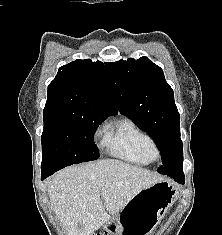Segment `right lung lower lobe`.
Masks as SVG:
<instances>
[{"mask_svg": "<svg viewBox=\"0 0 222 235\" xmlns=\"http://www.w3.org/2000/svg\"><path fill=\"white\" fill-rule=\"evenodd\" d=\"M55 172L56 171L42 172L41 180H44L45 178H47L48 176L52 175Z\"/></svg>", "mask_w": 222, "mask_h": 235, "instance_id": "1", "label": "right lung lower lobe"}]
</instances>
